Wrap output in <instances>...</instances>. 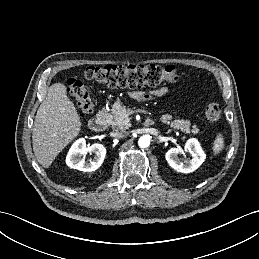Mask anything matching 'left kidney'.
I'll return each instance as SVG.
<instances>
[{
	"label": "left kidney",
	"instance_id": "obj_1",
	"mask_svg": "<svg viewBox=\"0 0 259 259\" xmlns=\"http://www.w3.org/2000/svg\"><path fill=\"white\" fill-rule=\"evenodd\" d=\"M189 152L191 159L181 160L178 155ZM165 158L173 169L181 173H191L195 171L205 160V154L200 143L195 138H190L185 144V150L181 148H171L167 151Z\"/></svg>",
	"mask_w": 259,
	"mask_h": 259
}]
</instances>
